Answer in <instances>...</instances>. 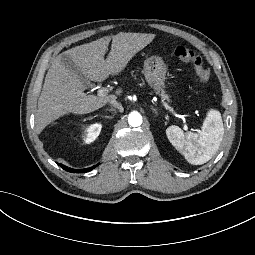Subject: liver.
<instances>
[{"label": "liver", "instance_id": "1", "mask_svg": "<svg viewBox=\"0 0 255 255\" xmlns=\"http://www.w3.org/2000/svg\"><path fill=\"white\" fill-rule=\"evenodd\" d=\"M154 38L155 34L120 32L112 37L105 36L76 46L64 53L72 58L87 79L101 82L109 75H118L132 57ZM111 39V51L105 60L104 55ZM84 90L85 86L79 76L74 75L61 62L60 55L56 57L46 74L38 100L35 115L36 132L41 133L48 124L68 112L87 114L116 99L115 95L104 97L88 95ZM121 92V89L116 91L117 94Z\"/></svg>", "mask_w": 255, "mask_h": 255}]
</instances>
